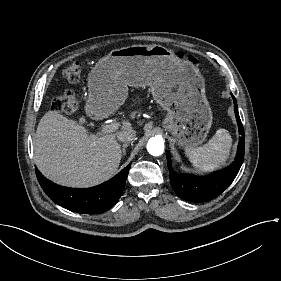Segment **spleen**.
<instances>
[{"mask_svg": "<svg viewBox=\"0 0 281 281\" xmlns=\"http://www.w3.org/2000/svg\"><path fill=\"white\" fill-rule=\"evenodd\" d=\"M232 138L226 129H218L208 143L198 148H188L185 154L193 166L201 171H213L226 164L230 155Z\"/></svg>", "mask_w": 281, "mask_h": 281, "instance_id": "spleen-1", "label": "spleen"}]
</instances>
